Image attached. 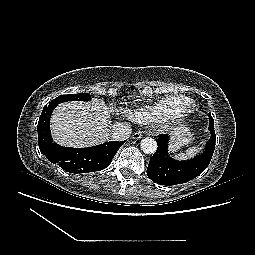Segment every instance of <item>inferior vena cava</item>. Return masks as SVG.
I'll list each match as a JSON object with an SVG mask.
<instances>
[{
    "instance_id": "obj_1",
    "label": "inferior vena cava",
    "mask_w": 255,
    "mask_h": 255,
    "mask_svg": "<svg viewBox=\"0 0 255 255\" xmlns=\"http://www.w3.org/2000/svg\"><path fill=\"white\" fill-rule=\"evenodd\" d=\"M131 131L128 123H116L112 126L111 137L115 141H123L129 138Z\"/></svg>"
}]
</instances>
